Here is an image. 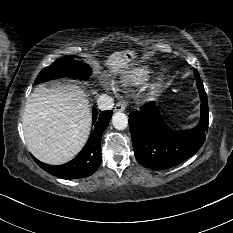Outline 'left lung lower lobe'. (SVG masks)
Listing matches in <instances>:
<instances>
[{
	"label": "left lung lower lobe",
	"instance_id": "1",
	"mask_svg": "<svg viewBox=\"0 0 233 233\" xmlns=\"http://www.w3.org/2000/svg\"><path fill=\"white\" fill-rule=\"evenodd\" d=\"M201 99L199 126L173 131L162 120L153 102L129 115L132 145L137 160L153 170L168 169L193 156L206 139L209 123L207 96L198 71H194Z\"/></svg>",
	"mask_w": 233,
	"mask_h": 233
}]
</instances>
